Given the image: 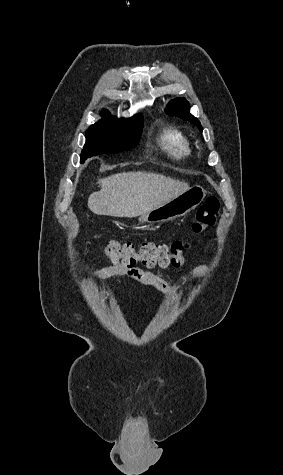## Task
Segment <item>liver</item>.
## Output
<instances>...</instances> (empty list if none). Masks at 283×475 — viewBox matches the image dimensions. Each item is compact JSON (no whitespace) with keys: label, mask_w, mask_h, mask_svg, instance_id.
Returning a JSON list of instances; mask_svg holds the SVG:
<instances>
[{"label":"liver","mask_w":283,"mask_h":475,"mask_svg":"<svg viewBox=\"0 0 283 475\" xmlns=\"http://www.w3.org/2000/svg\"><path fill=\"white\" fill-rule=\"evenodd\" d=\"M97 184L101 190L88 198V208L98 216L115 218L142 216L190 190L185 182L146 172L114 174Z\"/></svg>","instance_id":"1"}]
</instances>
